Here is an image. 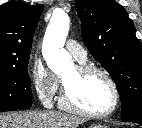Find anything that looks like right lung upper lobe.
<instances>
[{
	"label": "right lung upper lobe",
	"mask_w": 142,
	"mask_h": 128,
	"mask_svg": "<svg viewBox=\"0 0 142 128\" xmlns=\"http://www.w3.org/2000/svg\"><path fill=\"white\" fill-rule=\"evenodd\" d=\"M42 5L10 1L0 7V69L28 63Z\"/></svg>",
	"instance_id": "1"
}]
</instances>
